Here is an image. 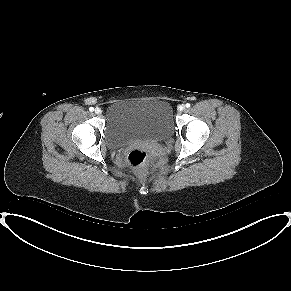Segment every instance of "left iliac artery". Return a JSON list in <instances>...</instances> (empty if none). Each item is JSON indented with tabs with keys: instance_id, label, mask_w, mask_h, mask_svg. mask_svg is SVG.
Returning <instances> with one entry per match:
<instances>
[{
	"instance_id": "left-iliac-artery-1",
	"label": "left iliac artery",
	"mask_w": 291,
	"mask_h": 291,
	"mask_svg": "<svg viewBox=\"0 0 291 291\" xmlns=\"http://www.w3.org/2000/svg\"><path fill=\"white\" fill-rule=\"evenodd\" d=\"M187 108H189L190 107V103H186V105H185Z\"/></svg>"
}]
</instances>
